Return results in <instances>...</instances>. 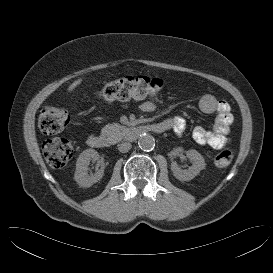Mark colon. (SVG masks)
<instances>
[{
    "label": "colon",
    "instance_id": "5ec220e1",
    "mask_svg": "<svg viewBox=\"0 0 273 273\" xmlns=\"http://www.w3.org/2000/svg\"><path fill=\"white\" fill-rule=\"evenodd\" d=\"M164 86L160 78L147 76H126L105 83L97 92V97L105 101H127L132 98H144L159 93ZM69 121L65 108L45 106L39 117V127L45 134L61 132ZM43 152L49 165L53 168L64 167L72 157V144L65 139L50 138L44 142ZM233 160L230 147L223 148L215 157V164L227 167Z\"/></svg>",
    "mask_w": 273,
    "mask_h": 273
}]
</instances>
